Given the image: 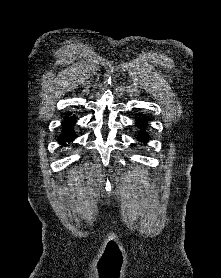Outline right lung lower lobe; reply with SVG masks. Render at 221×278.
<instances>
[{
	"instance_id": "98d812e1",
	"label": "right lung lower lobe",
	"mask_w": 221,
	"mask_h": 278,
	"mask_svg": "<svg viewBox=\"0 0 221 278\" xmlns=\"http://www.w3.org/2000/svg\"><path fill=\"white\" fill-rule=\"evenodd\" d=\"M75 122L76 121L74 116H69L65 118L62 122L63 131L60 137L58 138V141L61 145H66V143L72 142L76 137L73 131V126Z\"/></svg>"
}]
</instances>
